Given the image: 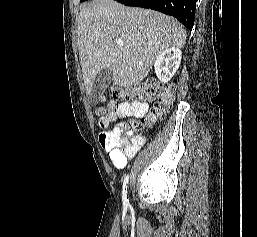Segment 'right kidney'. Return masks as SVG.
Instances as JSON below:
<instances>
[{
	"label": "right kidney",
	"mask_w": 257,
	"mask_h": 237,
	"mask_svg": "<svg viewBox=\"0 0 257 237\" xmlns=\"http://www.w3.org/2000/svg\"><path fill=\"white\" fill-rule=\"evenodd\" d=\"M182 52L177 47H168L158 54L154 61V69L158 79L167 83L180 66Z\"/></svg>",
	"instance_id": "obj_1"
}]
</instances>
